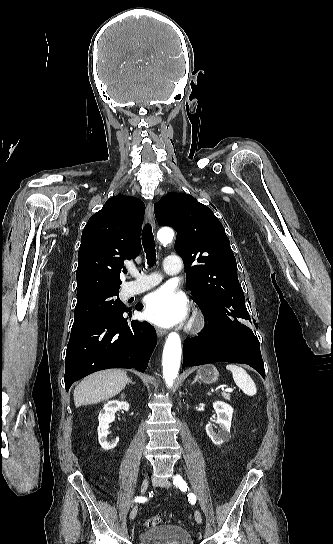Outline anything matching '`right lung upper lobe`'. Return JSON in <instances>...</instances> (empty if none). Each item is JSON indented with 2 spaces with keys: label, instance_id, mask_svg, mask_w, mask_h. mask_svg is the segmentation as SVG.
Returning <instances> with one entry per match:
<instances>
[{
  "label": "right lung upper lobe",
  "instance_id": "right-lung-upper-lobe-1",
  "mask_svg": "<svg viewBox=\"0 0 333 544\" xmlns=\"http://www.w3.org/2000/svg\"><path fill=\"white\" fill-rule=\"evenodd\" d=\"M144 211L140 199L117 195L90 217L78 252L77 299L119 291L123 261L140 253Z\"/></svg>",
  "mask_w": 333,
  "mask_h": 544
}]
</instances>
